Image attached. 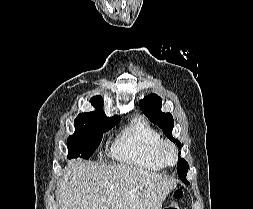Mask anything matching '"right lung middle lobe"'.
Wrapping results in <instances>:
<instances>
[{
    "instance_id": "1",
    "label": "right lung middle lobe",
    "mask_w": 253,
    "mask_h": 209,
    "mask_svg": "<svg viewBox=\"0 0 253 209\" xmlns=\"http://www.w3.org/2000/svg\"><path fill=\"white\" fill-rule=\"evenodd\" d=\"M118 119L107 120L90 116L74 121L75 132L67 139L68 158L89 159L99 146L102 134L110 130Z\"/></svg>"
}]
</instances>
